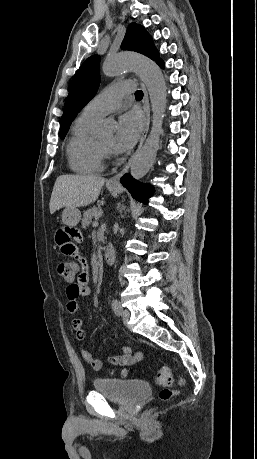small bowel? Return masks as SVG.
I'll return each instance as SVG.
<instances>
[{
	"label": "small bowel",
	"mask_w": 257,
	"mask_h": 459,
	"mask_svg": "<svg viewBox=\"0 0 257 459\" xmlns=\"http://www.w3.org/2000/svg\"><path fill=\"white\" fill-rule=\"evenodd\" d=\"M56 231L55 243L60 248V254L68 264H81V274L75 282L69 284L66 288V313L73 317L71 327L76 333V339L85 343L88 340L81 319L74 317L78 310L80 299L87 298L90 295L88 285V256L81 249L79 244L86 243V236L83 234L82 227H73L71 223H60ZM122 354L111 356L106 359V363L111 365L129 366L139 362L142 352H133L129 346L121 347ZM81 355L84 361L95 370H100L104 361L95 358L86 348L81 349Z\"/></svg>",
	"instance_id": "obj_1"
}]
</instances>
